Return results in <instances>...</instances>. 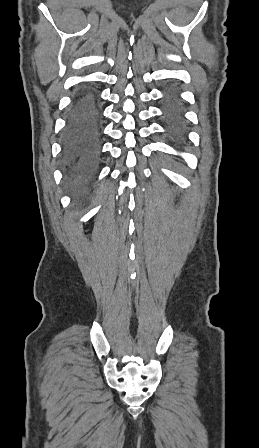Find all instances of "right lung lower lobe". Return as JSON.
<instances>
[{"mask_svg":"<svg viewBox=\"0 0 259 448\" xmlns=\"http://www.w3.org/2000/svg\"><path fill=\"white\" fill-rule=\"evenodd\" d=\"M100 99L96 88L84 83L75 92L62 135L61 162L67 181L84 185L99 164L101 134Z\"/></svg>","mask_w":259,"mask_h":448,"instance_id":"1","label":"right lung lower lobe"}]
</instances>
